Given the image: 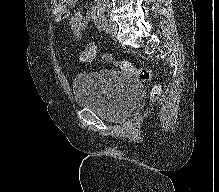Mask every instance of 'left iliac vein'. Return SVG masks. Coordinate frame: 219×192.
<instances>
[{
    "mask_svg": "<svg viewBox=\"0 0 219 192\" xmlns=\"http://www.w3.org/2000/svg\"><path fill=\"white\" fill-rule=\"evenodd\" d=\"M107 33L111 34L113 38H116L117 32H118V26L117 24L112 20H107Z\"/></svg>",
    "mask_w": 219,
    "mask_h": 192,
    "instance_id": "4c4485c4",
    "label": "left iliac vein"
}]
</instances>
